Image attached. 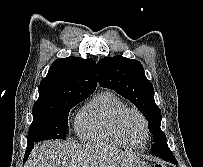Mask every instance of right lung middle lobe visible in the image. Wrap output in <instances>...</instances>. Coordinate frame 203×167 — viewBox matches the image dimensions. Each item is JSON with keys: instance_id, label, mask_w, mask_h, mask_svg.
I'll list each match as a JSON object with an SVG mask.
<instances>
[{"instance_id": "obj_1", "label": "right lung middle lobe", "mask_w": 203, "mask_h": 167, "mask_svg": "<svg viewBox=\"0 0 203 167\" xmlns=\"http://www.w3.org/2000/svg\"><path fill=\"white\" fill-rule=\"evenodd\" d=\"M85 98H70L50 106L33 107V122L29 129L28 142L66 139L68 113Z\"/></svg>"}]
</instances>
